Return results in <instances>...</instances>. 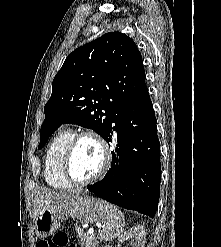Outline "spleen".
I'll list each match as a JSON object with an SVG mask.
<instances>
[{
    "label": "spleen",
    "mask_w": 221,
    "mask_h": 247,
    "mask_svg": "<svg viewBox=\"0 0 221 247\" xmlns=\"http://www.w3.org/2000/svg\"><path fill=\"white\" fill-rule=\"evenodd\" d=\"M106 211V219L99 232V236L101 240L108 241L122 235L124 215L117 207L108 203L106 204Z\"/></svg>",
    "instance_id": "1"
}]
</instances>
